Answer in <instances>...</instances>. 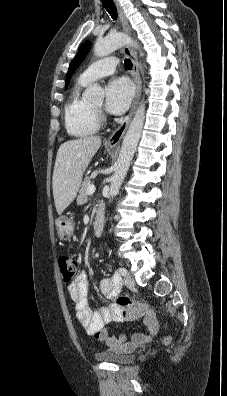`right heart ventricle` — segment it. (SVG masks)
Returning a JSON list of instances; mask_svg holds the SVG:
<instances>
[{"label":"right heart ventricle","mask_w":227,"mask_h":396,"mask_svg":"<svg viewBox=\"0 0 227 396\" xmlns=\"http://www.w3.org/2000/svg\"><path fill=\"white\" fill-rule=\"evenodd\" d=\"M88 83L79 78L65 104V127L68 134L74 137L90 136L96 133L100 126L94 107L82 97V90Z\"/></svg>","instance_id":"right-heart-ventricle-1"}]
</instances>
